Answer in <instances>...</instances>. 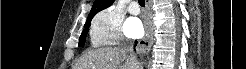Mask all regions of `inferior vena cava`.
Masks as SVG:
<instances>
[{
  "label": "inferior vena cava",
  "mask_w": 246,
  "mask_h": 69,
  "mask_svg": "<svg viewBox=\"0 0 246 69\" xmlns=\"http://www.w3.org/2000/svg\"><path fill=\"white\" fill-rule=\"evenodd\" d=\"M123 49H125L128 53H129V60L134 63V64H137V59H136V56L134 55L133 53V45L132 43L127 45V44H124L121 46Z\"/></svg>",
  "instance_id": "obj_1"
}]
</instances>
